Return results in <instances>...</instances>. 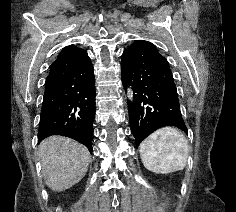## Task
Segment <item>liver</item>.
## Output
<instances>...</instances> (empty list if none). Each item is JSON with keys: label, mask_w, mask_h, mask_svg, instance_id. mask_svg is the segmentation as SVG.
I'll use <instances>...</instances> for the list:
<instances>
[{"label": "liver", "mask_w": 236, "mask_h": 212, "mask_svg": "<svg viewBox=\"0 0 236 212\" xmlns=\"http://www.w3.org/2000/svg\"><path fill=\"white\" fill-rule=\"evenodd\" d=\"M39 155L45 183L56 192L78 183L85 176L91 160L84 145L62 136H51L42 141Z\"/></svg>", "instance_id": "1"}]
</instances>
